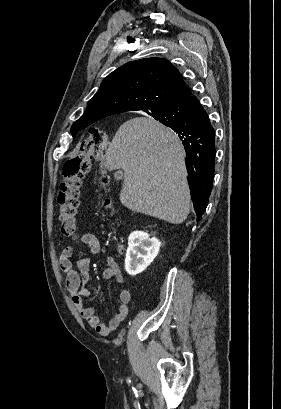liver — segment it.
<instances>
[{
	"instance_id": "1",
	"label": "liver",
	"mask_w": 281,
	"mask_h": 409,
	"mask_svg": "<svg viewBox=\"0 0 281 409\" xmlns=\"http://www.w3.org/2000/svg\"><path fill=\"white\" fill-rule=\"evenodd\" d=\"M108 170L123 168L121 205L180 225L190 213L183 146L173 130L150 116L119 126L106 154Z\"/></svg>"
}]
</instances>
